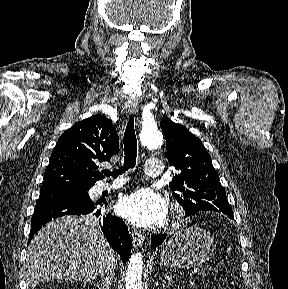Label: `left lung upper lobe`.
Here are the masks:
<instances>
[{"mask_svg": "<svg viewBox=\"0 0 288 289\" xmlns=\"http://www.w3.org/2000/svg\"><path fill=\"white\" fill-rule=\"evenodd\" d=\"M160 127L166 138L169 164L178 170L169 186L186 216L215 211L233 218L219 174L201 140L168 118L161 121Z\"/></svg>", "mask_w": 288, "mask_h": 289, "instance_id": "left-lung-upper-lobe-1", "label": "left lung upper lobe"}]
</instances>
